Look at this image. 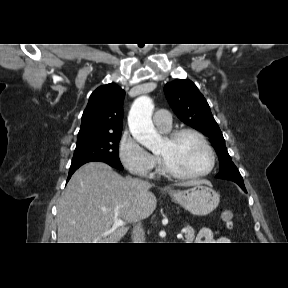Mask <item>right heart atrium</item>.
I'll return each mask as SVG.
<instances>
[{"label": "right heart atrium", "mask_w": 288, "mask_h": 288, "mask_svg": "<svg viewBox=\"0 0 288 288\" xmlns=\"http://www.w3.org/2000/svg\"><path fill=\"white\" fill-rule=\"evenodd\" d=\"M119 157L124 167L132 174L152 177L158 160L147 152L129 133H124L119 143Z\"/></svg>", "instance_id": "right-heart-atrium-1"}]
</instances>
